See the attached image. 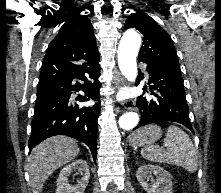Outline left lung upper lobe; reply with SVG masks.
<instances>
[{
    "mask_svg": "<svg viewBox=\"0 0 221 193\" xmlns=\"http://www.w3.org/2000/svg\"><path fill=\"white\" fill-rule=\"evenodd\" d=\"M128 28H136L143 34L139 60L181 72L171 37L150 16L141 11L132 13L124 25V29Z\"/></svg>",
    "mask_w": 221,
    "mask_h": 193,
    "instance_id": "obj_1",
    "label": "left lung upper lobe"
}]
</instances>
